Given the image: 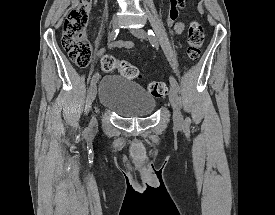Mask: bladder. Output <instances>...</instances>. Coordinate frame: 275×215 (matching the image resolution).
<instances>
[{"label":"bladder","instance_id":"31cf9c89","mask_svg":"<svg viewBox=\"0 0 275 215\" xmlns=\"http://www.w3.org/2000/svg\"><path fill=\"white\" fill-rule=\"evenodd\" d=\"M98 100L106 109L123 118L147 117L156 107L152 94L137 82L119 75L100 78Z\"/></svg>","mask_w":275,"mask_h":215}]
</instances>
